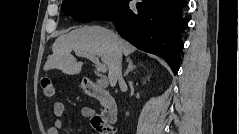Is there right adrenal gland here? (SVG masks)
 <instances>
[{
  "label": "right adrenal gland",
  "mask_w": 239,
  "mask_h": 134,
  "mask_svg": "<svg viewBox=\"0 0 239 134\" xmlns=\"http://www.w3.org/2000/svg\"><path fill=\"white\" fill-rule=\"evenodd\" d=\"M127 62H128V68H127L126 72L124 73V77H126L130 71H132L133 69L136 68V66L133 65V62L130 58H127Z\"/></svg>",
  "instance_id": "2a0ac1e0"
}]
</instances>
